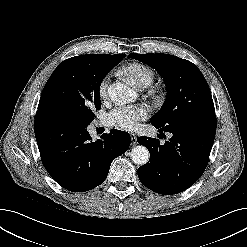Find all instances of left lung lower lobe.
Returning a JSON list of instances; mask_svg holds the SVG:
<instances>
[{"mask_svg": "<svg viewBox=\"0 0 247 247\" xmlns=\"http://www.w3.org/2000/svg\"><path fill=\"white\" fill-rule=\"evenodd\" d=\"M172 137L164 144L156 138L138 137L137 141L148 148L149 162L138 169L141 183L163 195L180 193L193 185L203 174L215 138L216 128L182 126L163 130Z\"/></svg>", "mask_w": 247, "mask_h": 247, "instance_id": "obj_1", "label": "left lung lower lobe"}]
</instances>
